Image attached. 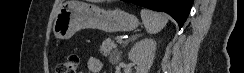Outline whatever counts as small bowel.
<instances>
[{
	"label": "small bowel",
	"instance_id": "obj_1",
	"mask_svg": "<svg viewBox=\"0 0 244 73\" xmlns=\"http://www.w3.org/2000/svg\"><path fill=\"white\" fill-rule=\"evenodd\" d=\"M87 67L90 73H100L102 70V62L98 58L91 57L87 62Z\"/></svg>",
	"mask_w": 244,
	"mask_h": 73
}]
</instances>
